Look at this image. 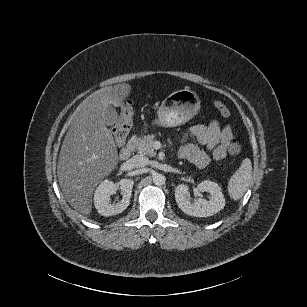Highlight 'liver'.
I'll use <instances>...</instances> for the list:
<instances>
[{"instance_id": "1", "label": "liver", "mask_w": 307, "mask_h": 307, "mask_svg": "<svg viewBox=\"0 0 307 307\" xmlns=\"http://www.w3.org/2000/svg\"><path fill=\"white\" fill-rule=\"evenodd\" d=\"M131 89L127 83L100 89L83 100L71 119L61 146L57 175L65 198L83 215L91 213L95 187L119 160L113 135L107 128L118 122V114L108 107L122 106Z\"/></svg>"}]
</instances>
